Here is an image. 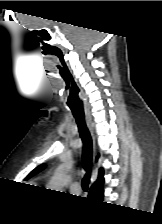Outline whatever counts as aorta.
<instances>
[{"label": "aorta", "mask_w": 162, "mask_h": 224, "mask_svg": "<svg viewBox=\"0 0 162 224\" xmlns=\"http://www.w3.org/2000/svg\"><path fill=\"white\" fill-rule=\"evenodd\" d=\"M71 167H72L71 162H65L57 168V170L53 176V179H52V184H51L52 188L56 189V191L61 189L62 181H63L65 175L71 169Z\"/></svg>", "instance_id": "obj_1"}]
</instances>
